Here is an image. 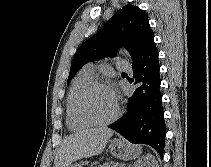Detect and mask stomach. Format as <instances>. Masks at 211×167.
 I'll return each instance as SVG.
<instances>
[{"label":"stomach","mask_w":211,"mask_h":167,"mask_svg":"<svg viewBox=\"0 0 211 167\" xmlns=\"http://www.w3.org/2000/svg\"><path fill=\"white\" fill-rule=\"evenodd\" d=\"M110 153L120 160H131L141 154L140 146H133L126 141L116 138L110 141L108 147ZM68 167H83L82 163L70 164Z\"/></svg>","instance_id":"obj_1"}]
</instances>
